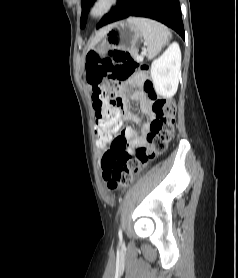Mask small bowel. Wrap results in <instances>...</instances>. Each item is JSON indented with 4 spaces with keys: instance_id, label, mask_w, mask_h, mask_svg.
Here are the masks:
<instances>
[{
    "instance_id": "c3829d8e",
    "label": "small bowel",
    "mask_w": 238,
    "mask_h": 278,
    "mask_svg": "<svg viewBox=\"0 0 238 278\" xmlns=\"http://www.w3.org/2000/svg\"><path fill=\"white\" fill-rule=\"evenodd\" d=\"M132 83L135 86L133 93L128 92V85ZM119 88L123 90V107H122V120L133 121L138 123L139 117L130 109L127 108V102L129 100L138 101L143 114H145L150 120L154 118L152 110V100L147 97L146 92L143 89L142 81L139 79H133L132 82H125L120 84ZM100 130V129H99ZM150 130L149 123H146L140 134H136L131 127L120 128L115 135L103 136L100 134L101 141H106L109 144H129L130 146H140L146 143V138ZM128 151V149H124ZM106 153V152H105Z\"/></svg>"
}]
</instances>
